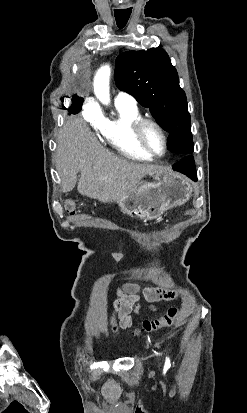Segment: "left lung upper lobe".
<instances>
[{
  "label": "left lung upper lobe",
  "instance_id": "5c2ea615",
  "mask_svg": "<svg viewBox=\"0 0 247 413\" xmlns=\"http://www.w3.org/2000/svg\"><path fill=\"white\" fill-rule=\"evenodd\" d=\"M115 81L148 108L157 123L169 132L168 149L180 155L193 153L191 118L178 74L160 47L128 51L116 59Z\"/></svg>",
  "mask_w": 247,
  "mask_h": 413
}]
</instances>
